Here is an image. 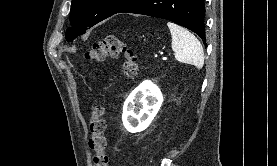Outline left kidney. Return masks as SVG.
I'll return each mask as SVG.
<instances>
[{
	"instance_id": "left-kidney-1",
	"label": "left kidney",
	"mask_w": 277,
	"mask_h": 166,
	"mask_svg": "<svg viewBox=\"0 0 277 166\" xmlns=\"http://www.w3.org/2000/svg\"><path fill=\"white\" fill-rule=\"evenodd\" d=\"M163 95L157 85L144 81L126 99L123 106L122 121L131 133L145 130L158 113Z\"/></svg>"
}]
</instances>
